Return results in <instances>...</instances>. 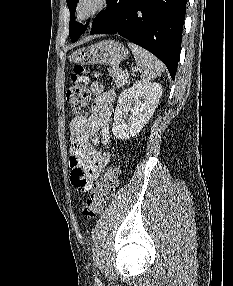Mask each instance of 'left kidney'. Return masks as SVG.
I'll return each mask as SVG.
<instances>
[{
  "instance_id": "obj_1",
  "label": "left kidney",
  "mask_w": 233,
  "mask_h": 286,
  "mask_svg": "<svg viewBox=\"0 0 233 286\" xmlns=\"http://www.w3.org/2000/svg\"><path fill=\"white\" fill-rule=\"evenodd\" d=\"M162 92L160 84L141 81L124 90L114 113L113 135L120 140L137 135L153 115ZM129 112L132 115L127 118Z\"/></svg>"
}]
</instances>
